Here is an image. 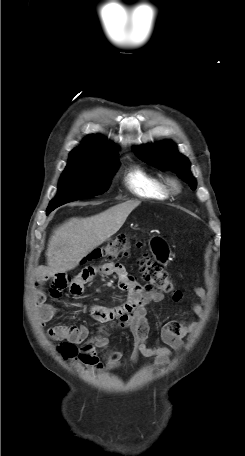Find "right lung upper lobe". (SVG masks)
Wrapping results in <instances>:
<instances>
[{"instance_id": "right-lung-upper-lobe-1", "label": "right lung upper lobe", "mask_w": 245, "mask_h": 456, "mask_svg": "<svg viewBox=\"0 0 245 456\" xmlns=\"http://www.w3.org/2000/svg\"><path fill=\"white\" fill-rule=\"evenodd\" d=\"M68 164L73 163H100L117 158L115 146L101 137L91 135L84 140L82 146L71 151Z\"/></svg>"}]
</instances>
